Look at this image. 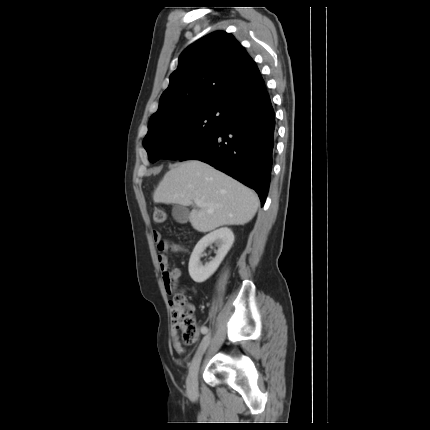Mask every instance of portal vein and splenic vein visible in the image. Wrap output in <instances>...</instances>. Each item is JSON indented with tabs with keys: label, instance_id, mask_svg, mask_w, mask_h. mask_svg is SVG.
I'll return each instance as SVG.
<instances>
[{
	"label": "portal vein and splenic vein",
	"instance_id": "obj_1",
	"mask_svg": "<svg viewBox=\"0 0 430 430\" xmlns=\"http://www.w3.org/2000/svg\"><path fill=\"white\" fill-rule=\"evenodd\" d=\"M194 202H195L196 206H198V207H201L204 205L203 201L200 199H195Z\"/></svg>",
	"mask_w": 430,
	"mask_h": 430
}]
</instances>
